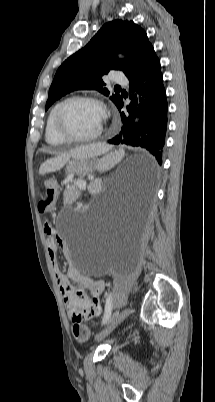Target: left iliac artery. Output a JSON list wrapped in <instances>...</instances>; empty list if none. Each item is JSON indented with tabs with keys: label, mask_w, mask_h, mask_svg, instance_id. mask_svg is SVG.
<instances>
[{
	"label": "left iliac artery",
	"mask_w": 215,
	"mask_h": 402,
	"mask_svg": "<svg viewBox=\"0 0 215 402\" xmlns=\"http://www.w3.org/2000/svg\"><path fill=\"white\" fill-rule=\"evenodd\" d=\"M111 312H112V294L110 293L106 298L105 311L102 319V324H106L109 321L111 317Z\"/></svg>",
	"instance_id": "obj_1"
}]
</instances>
